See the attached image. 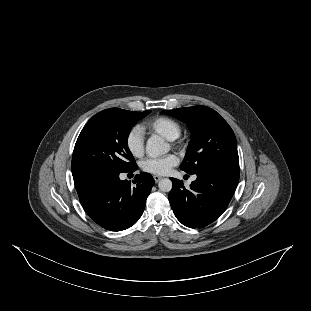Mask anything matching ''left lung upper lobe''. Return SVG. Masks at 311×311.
I'll return each instance as SVG.
<instances>
[{"mask_svg": "<svg viewBox=\"0 0 311 311\" xmlns=\"http://www.w3.org/2000/svg\"><path fill=\"white\" fill-rule=\"evenodd\" d=\"M162 113L183 121L191 131V141L180 165L181 170L194 174L217 166H239L234 132L215 110L194 106Z\"/></svg>", "mask_w": 311, "mask_h": 311, "instance_id": "5c2ea615", "label": "left lung upper lobe"}]
</instances>
